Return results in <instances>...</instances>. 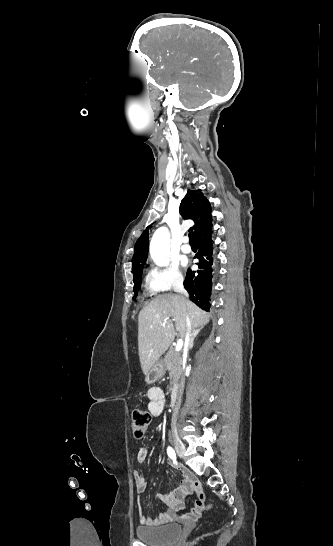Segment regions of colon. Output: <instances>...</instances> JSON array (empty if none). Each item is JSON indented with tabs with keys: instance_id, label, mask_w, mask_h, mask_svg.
<instances>
[{
	"instance_id": "colon-1",
	"label": "colon",
	"mask_w": 333,
	"mask_h": 546,
	"mask_svg": "<svg viewBox=\"0 0 333 546\" xmlns=\"http://www.w3.org/2000/svg\"><path fill=\"white\" fill-rule=\"evenodd\" d=\"M151 422V414L142 409H136L132 414V431L135 438H142ZM212 504L208 503L207 508H211Z\"/></svg>"
}]
</instances>
